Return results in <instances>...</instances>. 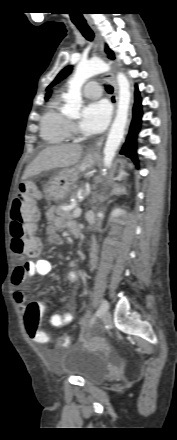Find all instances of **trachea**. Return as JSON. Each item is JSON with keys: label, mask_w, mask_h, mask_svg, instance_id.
I'll return each instance as SVG.
<instances>
[{"label": "trachea", "mask_w": 177, "mask_h": 440, "mask_svg": "<svg viewBox=\"0 0 177 440\" xmlns=\"http://www.w3.org/2000/svg\"><path fill=\"white\" fill-rule=\"evenodd\" d=\"M75 25L87 40H89V41L93 40L94 33L87 23H75ZM106 91L108 93H112L113 87L110 85H106Z\"/></svg>", "instance_id": "trachea-1"}]
</instances>
